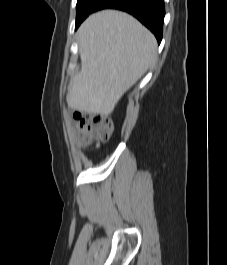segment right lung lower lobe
Returning a JSON list of instances; mask_svg holds the SVG:
<instances>
[{"label": "right lung lower lobe", "mask_w": 227, "mask_h": 265, "mask_svg": "<svg viewBox=\"0 0 227 265\" xmlns=\"http://www.w3.org/2000/svg\"><path fill=\"white\" fill-rule=\"evenodd\" d=\"M107 8L126 11L136 17L154 33L160 44L165 16L164 0H101L93 12ZM80 24L76 25V29Z\"/></svg>", "instance_id": "right-lung-lower-lobe-1"}]
</instances>
